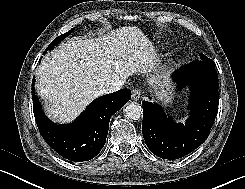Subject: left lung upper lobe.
Returning <instances> with one entry per match:
<instances>
[{"mask_svg": "<svg viewBox=\"0 0 245 189\" xmlns=\"http://www.w3.org/2000/svg\"><path fill=\"white\" fill-rule=\"evenodd\" d=\"M200 59L201 60H206L208 61L210 64L215 66V62H213L211 59H209L208 57H206L204 54L200 53Z\"/></svg>", "mask_w": 245, "mask_h": 189, "instance_id": "left-lung-upper-lobe-1", "label": "left lung upper lobe"}]
</instances>
